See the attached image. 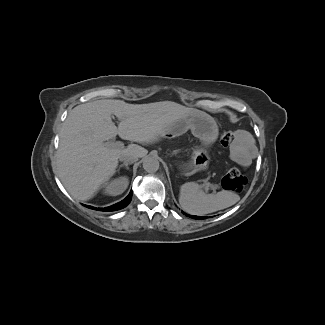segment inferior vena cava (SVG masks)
<instances>
[{
    "instance_id": "inferior-vena-cava-1",
    "label": "inferior vena cava",
    "mask_w": 325,
    "mask_h": 325,
    "mask_svg": "<svg viewBox=\"0 0 325 325\" xmlns=\"http://www.w3.org/2000/svg\"><path fill=\"white\" fill-rule=\"evenodd\" d=\"M139 155L136 152H124L119 156L120 161H124L125 163H133L138 160Z\"/></svg>"
}]
</instances>
